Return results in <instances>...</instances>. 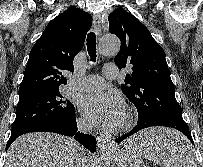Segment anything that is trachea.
Instances as JSON below:
<instances>
[{"instance_id":"1","label":"trachea","mask_w":203,"mask_h":167,"mask_svg":"<svg viewBox=\"0 0 203 167\" xmlns=\"http://www.w3.org/2000/svg\"><path fill=\"white\" fill-rule=\"evenodd\" d=\"M87 51L91 61H96V35L94 32H90L87 36Z\"/></svg>"}]
</instances>
